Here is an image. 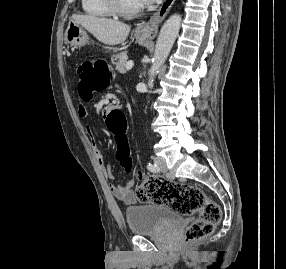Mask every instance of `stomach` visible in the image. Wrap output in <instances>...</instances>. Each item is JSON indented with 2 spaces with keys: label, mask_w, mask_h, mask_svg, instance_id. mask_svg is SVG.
I'll return each instance as SVG.
<instances>
[{
  "label": "stomach",
  "mask_w": 286,
  "mask_h": 269,
  "mask_svg": "<svg viewBox=\"0 0 286 269\" xmlns=\"http://www.w3.org/2000/svg\"><path fill=\"white\" fill-rule=\"evenodd\" d=\"M134 36L140 45H144L147 42L144 34L139 31H135ZM64 40L65 43L70 46L82 47L87 44L89 38L86 31L80 24L74 20H70L64 34Z\"/></svg>",
  "instance_id": "stomach-1"
}]
</instances>
